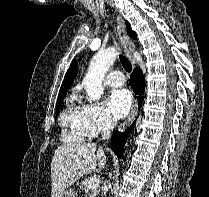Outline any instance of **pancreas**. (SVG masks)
I'll return each mask as SVG.
<instances>
[{
  "instance_id": "cf45deb5",
  "label": "pancreas",
  "mask_w": 209,
  "mask_h": 197,
  "mask_svg": "<svg viewBox=\"0 0 209 197\" xmlns=\"http://www.w3.org/2000/svg\"><path fill=\"white\" fill-rule=\"evenodd\" d=\"M93 177H89L88 179H84V180H81L80 182H77L76 185L77 186H80V188L82 190H84L85 193H87L89 190L91 189H88V182L92 179ZM99 191L100 189L98 187L94 188L92 191H91V194H90V197H96L98 194H99Z\"/></svg>"
}]
</instances>
